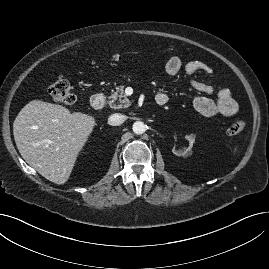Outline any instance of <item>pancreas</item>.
<instances>
[{
  "label": "pancreas",
  "instance_id": "pancreas-1",
  "mask_svg": "<svg viewBox=\"0 0 269 269\" xmlns=\"http://www.w3.org/2000/svg\"><path fill=\"white\" fill-rule=\"evenodd\" d=\"M124 87H116V90L111 94L108 100V104L112 109L126 108L131 105L130 100L124 94Z\"/></svg>",
  "mask_w": 269,
  "mask_h": 269
}]
</instances>
